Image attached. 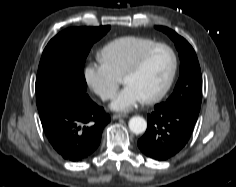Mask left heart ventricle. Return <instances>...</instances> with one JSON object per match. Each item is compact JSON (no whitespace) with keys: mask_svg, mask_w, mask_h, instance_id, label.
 Listing matches in <instances>:
<instances>
[{"mask_svg":"<svg viewBox=\"0 0 236 187\" xmlns=\"http://www.w3.org/2000/svg\"><path fill=\"white\" fill-rule=\"evenodd\" d=\"M171 64L170 53L163 48L156 49L147 57L142 68L136 74L124 80V84L132 86L142 99L150 97L165 85Z\"/></svg>","mask_w":236,"mask_h":187,"instance_id":"b2bd125f","label":"left heart ventricle"}]
</instances>
